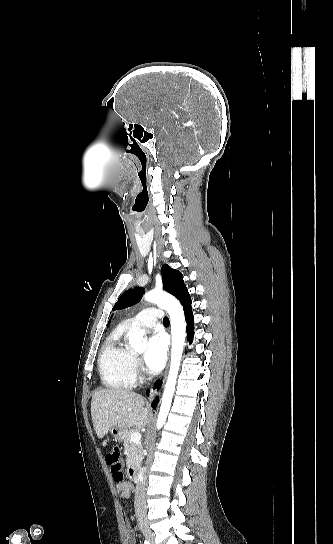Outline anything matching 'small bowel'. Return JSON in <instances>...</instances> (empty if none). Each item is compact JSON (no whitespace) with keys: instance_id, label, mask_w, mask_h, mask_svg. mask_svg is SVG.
Instances as JSON below:
<instances>
[{"instance_id":"c3829d8e","label":"small bowel","mask_w":333,"mask_h":544,"mask_svg":"<svg viewBox=\"0 0 333 544\" xmlns=\"http://www.w3.org/2000/svg\"><path fill=\"white\" fill-rule=\"evenodd\" d=\"M117 491L121 494L122 497L126 498L132 493L133 487L130 483H119L117 484ZM126 540L128 544H135V535L132 530H128Z\"/></svg>"}]
</instances>
